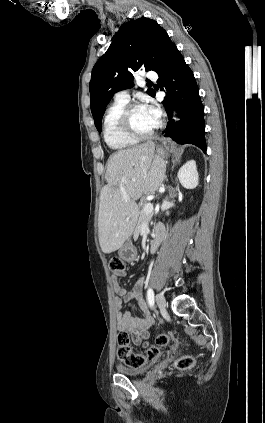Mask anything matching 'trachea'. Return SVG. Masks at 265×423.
<instances>
[{
  "label": "trachea",
  "instance_id": "obj_1",
  "mask_svg": "<svg viewBox=\"0 0 265 423\" xmlns=\"http://www.w3.org/2000/svg\"><path fill=\"white\" fill-rule=\"evenodd\" d=\"M147 84H152V82L148 81Z\"/></svg>",
  "mask_w": 265,
  "mask_h": 423
}]
</instances>
